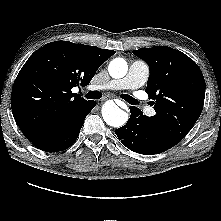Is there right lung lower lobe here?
<instances>
[{"mask_svg":"<svg viewBox=\"0 0 221 221\" xmlns=\"http://www.w3.org/2000/svg\"><path fill=\"white\" fill-rule=\"evenodd\" d=\"M95 105V101H90L78 114L51 129L32 143L37 148L47 152H58L67 149L76 141L86 116Z\"/></svg>","mask_w":221,"mask_h":221,"instance_id":"98d812e1","label":"right lung lower lobe"}]
</instances>
